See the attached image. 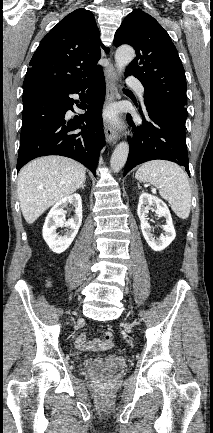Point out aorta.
I'll list each match as a JSON object with an SVG mask.
<instances>
[{"instance_id":"obj_1","label":"aorta","mask_w":213,"mask_h":433,"mask_svg":"<svg viewBox=\"0 0 213 433\" xmlns=\"http://www.w3.org/2000/svg\"><path fill=\"white\" fill-rule=\"evenodd\" d=\"M134 57L135 51L130 46H121L116 50L115 62L119 74L122 73ZM128 153L129 145L127 142H121L116 146L110 161L111 168L115 173L119 172L126 164Z\"/></svg>"}]
</instances>
